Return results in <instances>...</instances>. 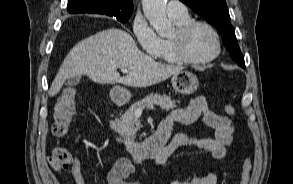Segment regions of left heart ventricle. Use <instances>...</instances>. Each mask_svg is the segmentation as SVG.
I'll return each mask as SVG.
<instances>
[{
    "instance_id": "b2bd125f",
    "label": "left heart ventricle",
    "mask_w": 293,
    "mask_h": 184,
    "mask_svg": "<svg viewBox=\"0 0 293 184\" xmlns=\"http://www.w3.org/2000/svg\"><path fill=\"white\" fill-rule=\"evenodd\" d=\"M215 50V39L205 27L194 28L186 38L185 51L191 58L203 59L212 55Z\"/></svg>"
}]
</instances>
